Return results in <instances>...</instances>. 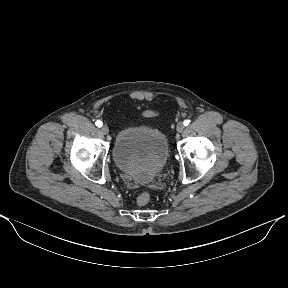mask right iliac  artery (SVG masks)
Instances as JSON below:
<instances>
[{
  "mask_svg": "<svg viewBox=\"0 0 288 288\" xmlns=\"http://www.w3.org/2000/svg\"><path fill=\"white\" fill-rule=\"evenodd\" d=\"M102 121L101 120H97L96 122H95V125L97 126V127H102Z\"/></svg>",
  "mask_w": 288,
  "mask_h": 288,
  "instance_id": "1",
  "label": "right iliac artery"
}]
</instances>
